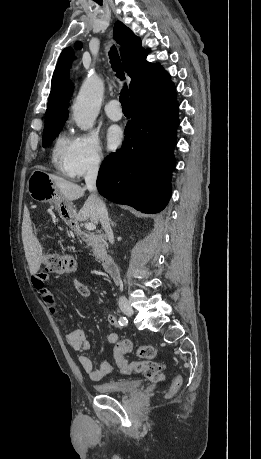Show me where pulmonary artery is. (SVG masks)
<instances>
[{
    "instance_id": "1",
    "label": "pulmonary artery",
    "mask_w": 261,
    "mask_h": 459,
    "mask_svg": "<svg viewBox=\"0 0 261 459\" xmlns=\"http://www.w3.org/2000/svg\"><path fill=\"white\" fill-rule=\"evenodd\" d=\"M105 112L107 116L113 121H119L123 117L122 109L118 100H110L105 105Z\"/></svg>"
}]
</instances>
